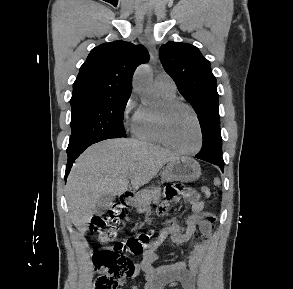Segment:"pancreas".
Listing matches in <instances>:
<instances>
[{
	"label": "pancreas",
	"mask_w": 293,
	"mask_h": 289,
	"mask_svg": "<svg viewBox=\"0 0 293 289\" xmlns=\"http://www.w3.org/2000/svg\"><path fill=\"white\" fill-rule=\"evenodd\" d=\"M160 188H154L152 190L145 189L135 195L134 201L138 206L137 211L143 213L149 209L152 201L160 198Z\"/></svg>",
	"instance_id": "obj_1"
}]
</instances>
